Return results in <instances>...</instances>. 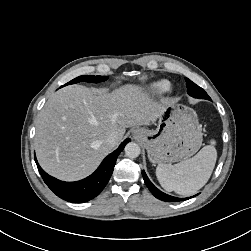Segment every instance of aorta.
<instances>
[{
  "instance_id": "1",
  "label": "aorta",
  "mask_w": 251,
  "mask_h": 251,
  "mask_svg": "<svg viewBox=\"0 0 251 251\" xmlns=\"http://www.w3.org/2000/svg\"><path fill=\"white\" fill-rule=\"evenodd\" d=\"M126 156L136 158L140 155V146L135 142H129L124 148Z\"/></svg>"
}]
</instances>
